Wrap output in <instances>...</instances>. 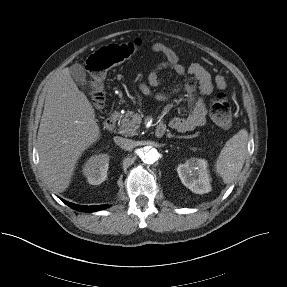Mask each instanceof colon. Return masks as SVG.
<instances>
[{
  "label": "colon",
  "instance_id": "5ec220e1",
  "mask_svg": "<svg viewBox=\"0 0 287 287\" xmlns=\"http://www.w3.org/2000/svg\"><path fill=\"white\" fill-rule=\"evenodd\" d=\"M142 45L140 40L123 44H109L92 53L86 60L88 86L93 104L101 107L105 96L103 81L107 71L114 65L129 59ZM210 115L220 127L227 128L232 121L231 106L223 93L211 100Z\"/></svg>",
  "mask_w": 287,
  "mask_h": 287
}]
</instances>
